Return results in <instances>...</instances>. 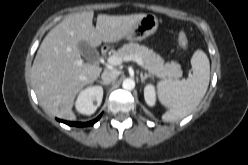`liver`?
I'll list each match as a JSON object with an SVG mask.
<instances>
[{
	"label": "liver",
	"mask_w": 248,
	"mask_h": 165,
	"mask_svg": "<svg viewBox=\"0 0 248 165\" xmlns=\"http://www.w3.org/2000/svg\"><path fill=\"white\" fill-rule=\"evenodd\" d=\"M146 14L97 16L93 11L66 16L43 39L31 68L32 85L41 107L59 118L74 119L77 93L93 83L102 68L83 63L80 43L93 48L102 42L115 43L125 38Z\"/></svg>",
	"instance_id": "obj_1"
}]
</instances>
